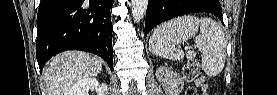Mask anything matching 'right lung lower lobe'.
<instances>
[{"instance_id": "right-lung-lower-lobe-1", "label": "right lung lower lobe", "mask_w": 277, "mask_h": 95, "mask_svg": "<svg viewBox=\"0 0 277 95\" xmlns=\"http://www.w3.org/2000/svg\"><path fill=\"white\" fill-rule=\"evenodd\" d=\"M112 4L113 0H41L36 43L40 72L52 56L66 50L99 55L112 70Z\"/></svg>"}]
</instances>
